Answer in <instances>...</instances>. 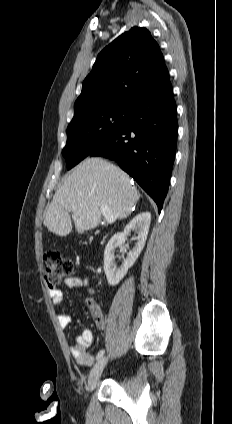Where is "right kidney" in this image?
<instances>
[{
  "label": "right kidney",
  "instance_id": "1",
  "mask_svg": "<svg viewBox=\"0 0 232 424\" xmlns=\"http://www.w3.org/2000/svg\"><path fill=\"white\" fill-rule=\"evenodd\" d=\"M150 222L151 214L149 212H142L129 222L122 233L113 235V237L109 240L104 251V271L109 285H117L126 275L128 269L131 268L137 260L144 248ZM131 231L137 233V236L135 237V246L132 251H129L127 258L124 260L121 267L117 268L114 256L115 249L125 242L126 237Z\"/></svg>",
  "mask_w": 232,
  "mask_h": 424
}]
</instances>
